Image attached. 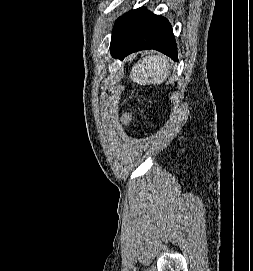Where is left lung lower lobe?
Listing matches in <instances>:
<instances>
[{"label": "left lung lower lobe", "mask_w": 253, "mask_h": 271, "mask_svg": "<svg viewBox=\"0 0 253 271\" xmlns=\"http://www.w3.org/2000/svg\"><path fill=\"white\" fill-rule=\"evenodd\" d=\"M155 49L177 61V45L168 20L141 7L124 14L112 33L110 52L123 59L130 53Z\"/></svg>", "instance_id": "0a47b994"}]
</instances>
